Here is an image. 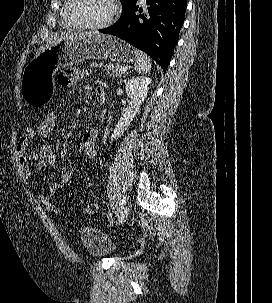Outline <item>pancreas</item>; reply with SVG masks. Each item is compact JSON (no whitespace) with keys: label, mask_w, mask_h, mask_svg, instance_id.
<instances>
[{"label":"pancreas","mask_w":272,"mask_h":303,"mask_svg":"<svg viewBox=\"0 0 272 303\" xmlns=\"http://www.w3.org/2000/svg\"><path fill=\"white\" fill-rule=\"evenodd\" d=\"M90 67H104L106 68L107 74L112 77H122L124 75V72L120 71L122 68L119 64H106L100 62V63H91Z\"/></svg>","instance_id":"obj_1"}]
</instances>
